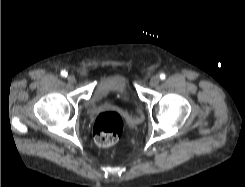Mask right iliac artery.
I'll list each match as a JSON object with an SVG mask.
<instances>
[{
	"instance_id": "82829eb1",
	"label": "right iliac artery",
	"mask_w": 245,
	"mask_h": 187,
	"mask_svg": "<svg viewBox=\"0 0 245 187\" xmlns=\"http://www.w3.org/2000/svg\"><path fill=\"white\" fill-rule=\"evenodd\" d=\"M61 76L67 77V72H66L65 70H62V71H61Z\"/></svg>"
}]
</instances>
